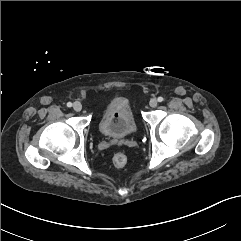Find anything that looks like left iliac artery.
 Instances as JSON below:
<instances>
[{
	"label": "left iliac artery",
	"mask_w": 241,
	"mask_h": 241,
	"mask_svg": "<svg viewBox=\"0 0 241 241\" xmlns=\"http://www.w3.org/2000/svg\"><path fill=\"white\" fill-rule=\"evenodd\" d=\"M157 100H158V102H162L164 99H163V97L160 96V97H158Z\"/></svg>",
	"instance_id": "44dca946"
}]
</instances>
